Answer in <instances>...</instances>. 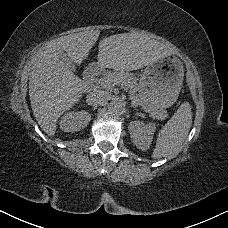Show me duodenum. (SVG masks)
<instances>
[{
	"label": "duodenum",
	"instance_id": "duodenum-1",
	"mask_svg": "<svg viewBox=\"0 0 228 228\" xmlns=\"http://www.w3.org/2000/svg\"><path fill=\"white\" fill-rule=\"evenodd\" d=\"M99 73V68L96 65H91L85 69L84 74L81 76V81L84 84H89L92 81V78H94Z\"/></svg>",
	"mask_w": 228,
	"mask_h": 228
}]
</instances>
